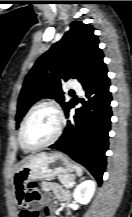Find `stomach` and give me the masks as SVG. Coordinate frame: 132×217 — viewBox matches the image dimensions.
Masks as SVG:
<instances>
[{
    "label": "stomach",
    "mask_w": 132,
    "mask_h": 217,
    "mask_svg": "<svg viewBox=\"0 0 132 217\" xmlns=\"http://www.w3.org/2000/svg\"><path fill=\"white\" fill-rule=\"evenodd\" d=\"M71 160L61 152L40 153L19 166L12 182L14 186H26L33 180H50L56 175H66L74 171Z\"/></svg>",
    "instance_id": "stomach-1"
}]
</instances>
